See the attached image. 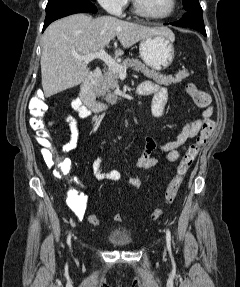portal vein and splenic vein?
<instances>
[{
  "mask_svg": "<svg viewBox=\"0 0 240 287\" xmlns=\"http://www.w3.org/2000/svg\"><path fill=\"white\" fill-rule=\"evenodd\" d=\"M79 60H83L85 63H89L94 59H101L110 69L117 72L120 76H126L127 66H121L110 55H108L103 48L94 53L87 55H75Z\"/></svg>",
  "mask_w": 240,
  "mask_h": 287,
  "instance_id": "1",
  "label": "portal vein and splenic vein"
}]
</instances>
